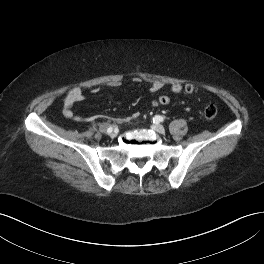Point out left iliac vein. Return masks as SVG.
<instances>
[{
	"instance_id": "1",
	"label": "left iliac vein",
	"mask_w": 264,
	"mask_h": 264,
	"mask_svg": "<svg viewBox=\"0 0 264 264\" xmlns=\"http://www.w3.org/2000/svg\"><path fill=\"white\" fill-rule=\"evenodd\" d=\"M152 129L158 133H161V134L165 132V128L160 124H154L152 126Z\"/></svg>"
}]
</instances>
